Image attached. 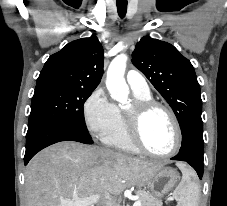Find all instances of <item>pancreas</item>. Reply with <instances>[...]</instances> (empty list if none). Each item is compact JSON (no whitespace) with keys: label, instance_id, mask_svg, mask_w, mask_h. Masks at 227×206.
<instances>
[{"label":"pancreas","instance_id":"obj_1","mask_svg":"<svg viewBox=\"0 0 227 206\" xmlns=\"http://www.w3.org/2000/svg\"><path fill=\"white\" fill-rule=\"evenodd\" d=\"M137 195L139 196L138 201L141 202V206H162V202L147 191L139 190Z\"/></svg>","mask_w":227,"mask_h":206}]
</instances>
